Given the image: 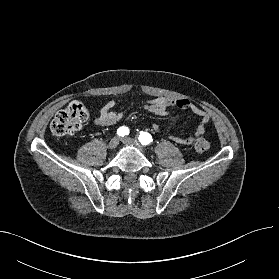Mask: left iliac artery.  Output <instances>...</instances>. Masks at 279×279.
<instances>
[{"mask_svg": "<svg viewBox=\"0 0 279 279\" xmlns=\"http://www.w3.org/2000/svg\"><path fill=\"white\" fill-rule=\"evenodd\" d=\"M138 139H139L140 143L143 145H148L153 141L152 136L149 133L143 132V131L140 132Z\"/></svg>", "mask_w": 279, "mask_h": 279, "instance_id": "1", "label": "left iliac artery"}]
</instances>
